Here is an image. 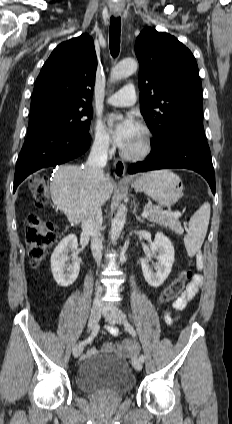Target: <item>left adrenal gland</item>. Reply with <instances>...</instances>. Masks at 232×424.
<instances>
[{
	"label": "left adrenal gland",
	"instance_id": "left-adrenal-gland-1",
	"mask_svg": "<svg viewBox=\"0 0 232 424\" xmlns=\"http://www.w3.org/2000/svg\"><path fill=\"white\" fill-rule=\"evenodd\" d=\"M137 207H138V205H136V207L134 209L135 217H136L137 221H139L140 223H143L144 220L140 216L136 215V209H137Z\"/></svg>",
	"mask_w": 232,
	"mask_h": 424
}]
</instances>
